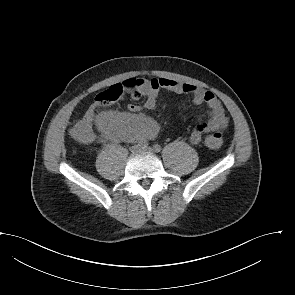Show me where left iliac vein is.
<instances>
[{"instance_id": "4c4485c4", "label": "left iliac vein", "mask_w": 295, "mask_h": 295, "mask_svg": "<svg viewBox=\"0 0 295 295\" xmlns=\"http://www.w3.org/2000/svg\"><path fill=\"white\" fill-rule=\"evenodd\" d=\"M141 151L152 153V152H154V149L152 147L145 146V147L141 148Z\"/></svg>"}]
</instances>
